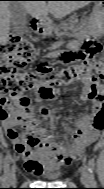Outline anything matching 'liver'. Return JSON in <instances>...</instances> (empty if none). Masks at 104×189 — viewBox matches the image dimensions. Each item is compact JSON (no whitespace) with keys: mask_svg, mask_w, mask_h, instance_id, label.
<instances>
[{"mask_svg":"<svg viewBox=\"0 0 104 189\" xmlns=\"http://www.w3.org/2000/svg\"><path fill=\"white\" fill-rule=\"evenodd\" d=\"M9 2L2 1L0 7V41L6 43L9 33V23L11 21V12ZM11 3V2H10ZM23 8L32 17L39 19L50 12L55 18H62L74 10L84 7L88 4L86 1H23Z\"/></svg>","mask_w":104,"mask_h":189,"instance_id":"1","label":"liver"}]
</instances>
